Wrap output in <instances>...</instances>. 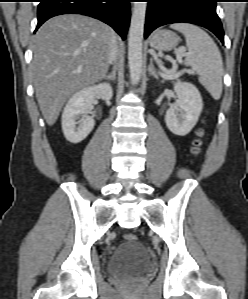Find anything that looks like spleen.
Returning a JSON list of instances; mask_svg holds the SVG:
<instances>
[{
    "mask_svg": "<svg viewBox=\"0 0 248 299\" xmlns=\"http://www.w3.org/2000/svg\"><path fill=\"white\" fill-rule=\"evenodd\" d=\"M170 28L184 34L188 52L185 64L198 74L199 82L218 100L222 94L223 61L213 39L201 28L189 23H175Z\"/></svg>",
    "mask_w": 248,
    "mask_h": 299,
    "instance_id": "spleen-1",
    "label": "spleen"
}]
</instances>
